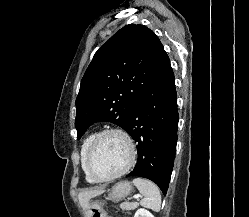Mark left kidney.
<instances>
[{
	"label": "left kidney",
	"instance_id": "left-kidney-1",
	"mask_svg": "<svg viewBox=\"0 0 249 217\" xmlns=\"http://www.w3.org/2000/svg\"><path fill=\"white\" fill-rule=\"evenodd\" d=\"M134 217H154V215L144 208H140L136 211Z\"/></svg>",
	"mask_w": 249,
	"mask_h": 217
}]
</instances>
